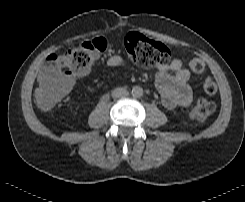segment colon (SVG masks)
Returning <instances> with one entry per match:
<instances>
[{
	"label": "colon",
	"instance_id": "colon-1",
	"mask_svg": "<svg viewBox=\"0 0 245 202\" xmlns=\"http://www.w3.org/2000/svg\"><path fill=\"white\" fill-rule=\"evenodd\" d=\"M107 46L106 38L97 37L79 43L65 53L52 55L48 59L49 73L36 95L39 109L43 112L51 111L69 91L70 79L87 73L95 59L107 49ZM123 48L129 60L145 68L166 64L171 57L170 49L166 45L137 33L124 35ZM189 64L192 72L196 74L204 71V63L199 59H192ZM203 91L207 95H214L217 91L215 82L212 79H206L203 82ZM214 109L213 102L200 99L188 110L187 118L203 123L210 117Z\"/></svg>",
	"mask_w": 245,
	"mask_h": 202
}]
</instances>
